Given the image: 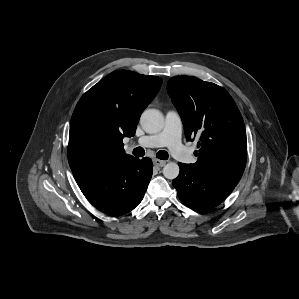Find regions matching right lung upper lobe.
I'll return each instance as SVG.
<instances>
[{
	"mask_svg": "<svg viewBox=\"0 0 299 299\" xmlns=\"http://www.w3.org/2000/svg\"><path fill=\"white\" fill-rule=\"evenodd\" d=\"M161 84L159 77L119 70L90 88L77 103L70 128L84 119H92L98 126L101 143L88 159L71 169L93 168L132 157L124 151L123 138L134 136L142 111L158 93Z\"/></svg>",
	"mask_w": 299,
	"mask_h": 299,
	"instance_id": "1",
	"label": "right lung upper lobe"
}]
</instances>
